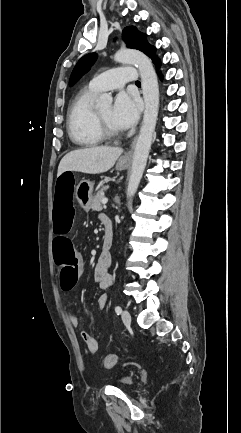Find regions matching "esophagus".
Returning a JSON list of instances; mask_svg holds the SVG:
<instances>
[{
	"label": "esophagus",
	"instance_id": "1",
	"mask_svg": "<svg viewBox=\"0 0 241 433\" xmlns=\"http://www.w3.org/2000/svg\"><path fill=\"white\" fill-rule=\"evenodd\" d=\"M135 142H136V137L133 139V141L131 142V145H130V149H129V151L124 155V157H123V159L124 160H127V159H130L131 158V156H132V151H133V147H134V145H135Z\"/></svg>",
	"mask_w": 241,
	"mask_h": 433
}]
</instances>
